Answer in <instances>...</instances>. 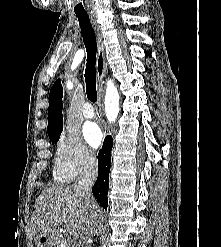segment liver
Segmentation results:
<instances>
[{"instance_id":"1","label":"liver","mask_w":221,"mask_h":247,"mask_svg":"<svg viewBox=\"0 0 221 247\" xmlns=\"http://www.w3.org/2000/svg\"><path fill=\"white\" fill-rule=\"evenodd\" d=\"M95 210L98 215L100 210L96 203ZM62 224L74 238L86 228V210L75 186L51 187L42 191L36 199L31 218L32 236L40 232H54Z\"/></svg>"}]
</instances>
